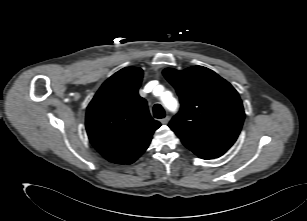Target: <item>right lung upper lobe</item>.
<instances>
[{
  "mask_svg": "<svg viewBox=\"0 0 307 221\" xmlns=\"http://www.w3.org/2000/svg\"><path fill=\"white\" fill-rule=\"evenodd\" d=\"M143 71L121 69L100 87L87 108L86 130L91 144L108 161L131 164L148 148L161 124L139 96Z\"/></svg>",
  "mask_w": 307,
  "mask_h": 221,
  "instance_id": "obj_1",
  "label": "right lung upper lobe"
}]
</instances>
